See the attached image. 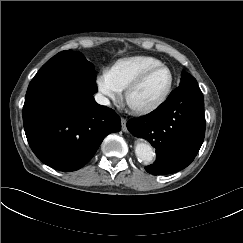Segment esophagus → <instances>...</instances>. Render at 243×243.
Masks as SVG:
<instances>
[{
	"mask_svg": "<svg viewBox=\"0 0 243 243\" xmlns=\"http://www.w3.org/2000/svg\"><path fill=\"white\" fill-rule=\"evenodd\" d=\"M121 125H122V131L123 132H128V129H127V120L125 118H121Z\"/></svg>",
	"mask_w": 243,
	"mask_h": 243,
	"instance_id": "34e87169",
	"label": "esophagus"
}]
</instances>
